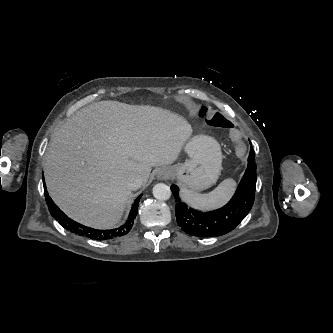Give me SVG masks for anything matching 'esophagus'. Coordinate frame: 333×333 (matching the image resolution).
<instances>
[{
  "instance_id": "1",
  "label": "esophagus",
  "mask_w": 333,
  "mask_h": 333,
  "mask_svg": "<svg viewBox=\"0 0 333 333\" xmlns=\"http://www.w3.org/2000/svg\"><path fill=\"white\" fill-rule=\"evenodd\" d=\"M169 177V172L166 171V170H161L159 173H158V178L161 179V180H165Z\"/></svg>"
}]
</instances>
